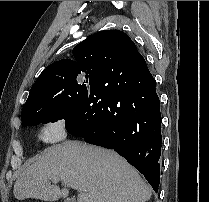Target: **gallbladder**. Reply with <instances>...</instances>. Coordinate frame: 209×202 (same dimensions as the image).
Instances as JSON below:
<instances>
[{"instance_id":"1","label":"gallbladder","mask_w":209,"mask_h":202,"mask_svg":"<svg viewBox=\"0 0 209 202\" xmlns=\"http://www.w3.org/2000/svg\"><path fill=\"white\" fill-rule=\"evenodd\" d=\"M65 202H75V199H73V198H68Z\"/></svg>"}]
</instances>
